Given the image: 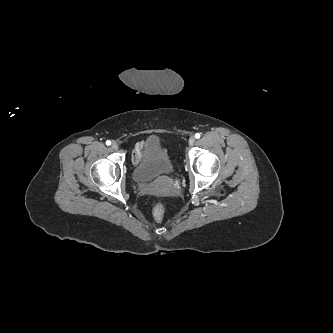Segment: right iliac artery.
I'll use <instances>...</instances> for the list:
<instances>
[{
	"instance_id": "obj_1",
	"label": "right iliac artery",
	"mask_w": 333,
	"mask_h": 333,
	"mask_svg": "<svg viewBox=\"0 0 333 333\" xmlns=\"http://www.w3.org/2000/svg\"><path fill=\"white\" fill-rule=\"evenodd\" d=\"M106 145H108V146L111 145V141L107 140Z\"/></svg>"
}]
</instances>
